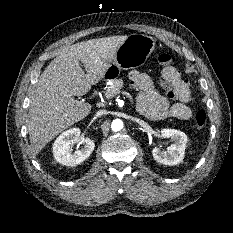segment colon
Wrapping results in <instances>:
<instances>
[{"instance_id": "5ec220e1", "label": "colon", "mask_w": 233, "mask_h": 233, "mask_svg": "<svg viewBox=\"0 0 233 233\" xmlns=\"http://www.w3.org/2000/svg\"><path fill=\"white\" fill-rule=\"evenodd\" d=\"M160 65V76L162 84L167 90L170 99L177 100L178 92L175 85L180 81V72L173 66L172 58L169 54H161L158 56ZM195 125L198 129H203L207 124V114L204 110H199L194 116Z\"/></svg>"}]
</instances>
